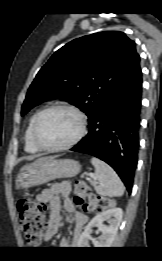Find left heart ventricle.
Listing matches in <instances>:
<instances>
[{"label": "left heart ventricle", "mask_w": 162, "mask_h": 261, "mask_svg": "<svg viewBox=\"0 0 162 261\" xmlns=\"http://www.w3.org/2000/svg\"><path fill=\"white\" fill-rule=\"evenodd\" d=\"M78 129V119L72 112L57 109L43 116L38 136L44 145L58 146L70 141L77 134Z\"/></svg>", "instance_id": "left-heart-ventricle-1"}]
</instances>
